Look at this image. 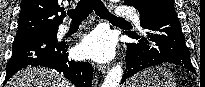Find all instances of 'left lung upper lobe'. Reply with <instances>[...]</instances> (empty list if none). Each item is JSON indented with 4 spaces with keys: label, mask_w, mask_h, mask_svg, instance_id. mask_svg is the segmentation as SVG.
<instances>
[{
    "label": "left lung upper lobe",
    "mask_w": 205,
    "mask_h": 87,
    "mask_svg": "<svg viewBox=\"0 0 205 87\" xmlns=\"http://www.w3.org/2000/svg\"><path fill=\"white\" fill-rule=\"evenodd\" d=\"M125 5L135 7L139 12L159 5L174 6L173 0H124ZM126 34H135V32H126Z\"/></svg>",
    "instance_id": "left-lung-upper-lobe-1"
}]
</instances>
